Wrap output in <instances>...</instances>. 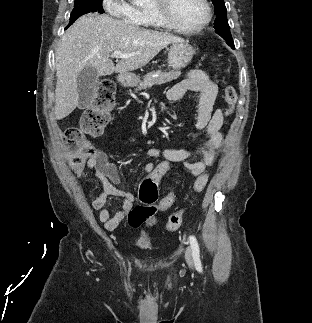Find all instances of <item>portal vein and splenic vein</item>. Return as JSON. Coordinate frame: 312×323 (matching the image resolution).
Returning <instances> with one entry per match:
<instances>
[{"mask_svg": "<svg viewBox=\"0 0 312 323\" xmlns=\"http://www.w3.org/2000/svg\"><path fill=\"white\" fill-rule=\"evenodd\" d=\"M135 54H121V52H113L112 58H131Z\"/></svg>", "mask_w": 312, "mask_h": 323, "instance_id": "18ae733b", "label": "portal vein and splenic vein"}]
</instances>
